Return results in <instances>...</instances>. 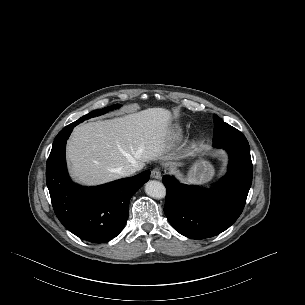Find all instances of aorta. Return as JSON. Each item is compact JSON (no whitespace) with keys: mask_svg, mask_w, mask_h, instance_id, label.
<instances>
[{"mask_svg":"<svg viewBox=\"0 0 305 305\" xmlns=\"http://www.w3.org/2000/svg\"><path fill=\"white\" fill-rule=\"evenodd\" d=\"M145 192L150 197L161 199L166 195V188L163 183L156 180H150L145 185Z\"/></svg>","mask_w":305,"mask_h":305,"instance_id":"aorta-1","label":"aorta"}]
</instances>
